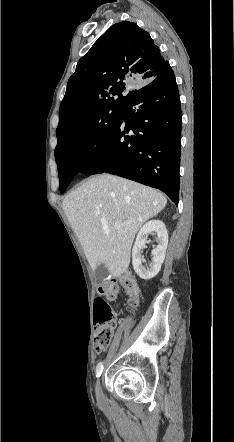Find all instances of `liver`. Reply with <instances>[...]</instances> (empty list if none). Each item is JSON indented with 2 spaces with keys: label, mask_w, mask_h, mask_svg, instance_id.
<instances>
[{
  "label": "liver",
  "mask_w": 234,
  "mask_h": 442,
  "mask_svg": "<svg viewBox=\"0 0 234 442\" xmlns=\"http://www.w3.org/2000/svg\"><path fill=\"white\" fill-rule=\"evenodd\" d=\"M166 204V197L155 189L103 174L70 192L63 210L92 270L104 264L110 274L119 277L129 267L137 231ZM116 221L128 224L116 229Z\"/></svg>",
  "instance_id": "6515ba94"
}]
</instances>
